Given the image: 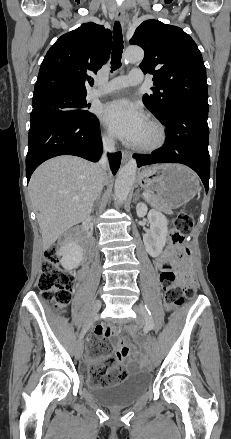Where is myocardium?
<instances>
[{"label": "myocardium", "instance_id": "1", "mask_svg": "<svg viewBox=\"0 0 231 439\" xmlns=\"http://www.w3.org/2000/svg\"><path fill=\"white\" fill-rule=\"evenodd\" d=\"M148 124L154 130V137L150 141L135 144V148L142 152H152L161 148L167 138L166 129L158 119L150 118Z\"/></svg>", "mask_w": 231, "mask_h": 439}]
</instances>
